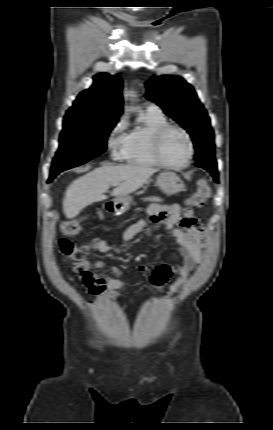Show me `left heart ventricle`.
<instances>
[{
	"label": "left heart ventricle",
	"instance_id": "1",
	"mask_svg": "<svg viewBox=\"0 0 273 430\" xmlns=\"http://www.w3.org/2000/svg\"><path fill=\"white\" fill-rule=\"evenodd\" d=\"M163 159L170 164H182L188 156V144L185 136L177 131H168L161 145Z\"/></svg>",
	"mask_w": 273,
	"mask_h": 430
}]
</instances>
